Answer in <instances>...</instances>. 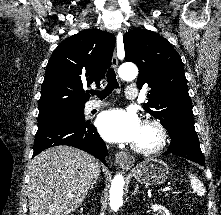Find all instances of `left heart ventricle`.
<instances>
[{"mask_svg": "<svg viewBox=\"0 0 221 215\" xmlns=\"http://www.w3.org/2000/svg\"><path fill=\"white\" fill-rule=\"evenodd\" d=\"M156 141V134L152 128L141 126L140 134L135 141L136 144L142 146L153 145Z\"/></svg>", "mask_w": 221, "mask_h": 215, "instance_id": "left-heart-ventricle-1", "label": "left heart ventricle"}]
</instances>
